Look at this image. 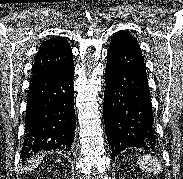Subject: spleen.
<instances>
[{"label": "spleen", "mask_w": 183, "mask_h": 179, "mask_svg": "<svg viewBox=\"0 0 183 179\" xmlns=\"http://www.w3.org/2000/svg\"><path fill=\"white\" fill-rule=\"evenodd\" d=\"M138 165L142 170L146 172H150L153 174H159L161 172L160 161L150 155L141 156V158H139L138 160Z\"/></svg>", "instance_id": "3e777b00"}]
</instances>
